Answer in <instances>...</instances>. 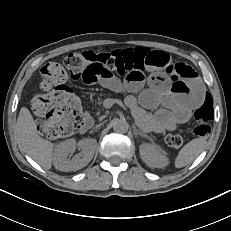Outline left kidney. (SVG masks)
<instances>
[{
  "label": "left kidney",
  "instance_id": "1",
  "mask_svg": "<svg viewBox=\"0 0 231 231\" xmlns=\"http://www.w3.org/2000/svg\"><path fill=\"white\" fill-rule=\"evenodd\" d=\"M140 157L151 168H164L169 164L166 153L157 145L143 143L140 145Z\"/></svg>",
  "mask_w": 231,
  "mask_h": 231
}]
</instances>
